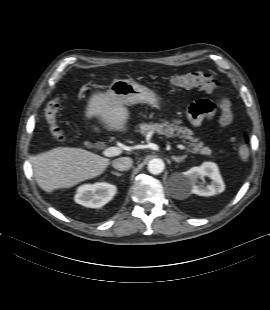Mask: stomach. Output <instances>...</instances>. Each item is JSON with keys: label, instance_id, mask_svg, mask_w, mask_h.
I'll return each mask as SVG.
<instances>
[{"label": "stomach", "instance_id": "0dacf381", "mask_svg": "<svg viewBox=\"0 0 270 310\" xmlns=\"http://www.w3.org/2000/svg\"><path fill=\"white\" fill-rule=\"evenodd\" d=\"M106 94H111L122 100L125 105L137 103L156 105L159 101V98L152 90L133 80L127 79L114 80L108 87Z\"/></svg>", "mask_w": 270, "mask_h": 310}]
</instances>
